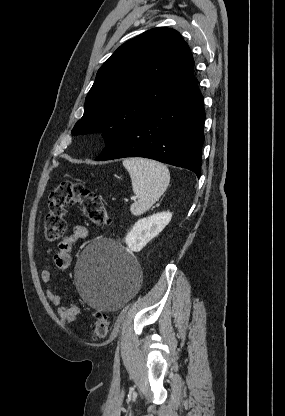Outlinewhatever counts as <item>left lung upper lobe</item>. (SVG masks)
Wrapping results in <instances>:
<instances>
[{
  "instance_id": "1",
  "label": "left lung upper lobe",
  "mask_w": 285,
  "mask_h": 416,
  "mask_svg": "<svg viewBox=\"0 0 285 416\" xmlns=\"http://www.w3.org/2000/svg\"><path fill=\"white\" fill-rule=\"evenodd\" d=\"M189 46L173 29L154 28L127 41L106 60L72 135L102 132L108 144L194 79Z\"/></svg>"
}]
</instances>
